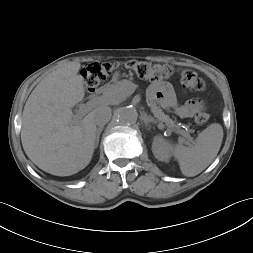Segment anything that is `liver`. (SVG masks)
<instances>
[{
	"mask_svg": "<svg viewBox=\"0 0 253 253\" xmlns=\"http://www.w3.org/2000/svg\"><path fill=\"white\" fill-rule=\"evenodd\" d=\"M80 67L79 62H68L44 77L22 114L21 141L26 155L41 170L57 176L84 169L94 153V111L98 107L77 122L72 112L85 96Z\"/></svg>",
	"mask_w": 253,
	"mask_h": 253,
	"instance_id": "obj_1",
	"label": "liver"
}]
</instances>
